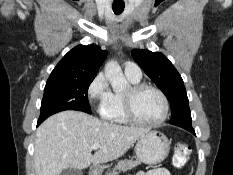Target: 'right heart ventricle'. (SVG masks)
<instances>
[{
  "instance_id": "e07e8e85",
  "label": "right heart ventricle",
  "mask_w": 233,
  "mask_h": 175,
  "mask_svg": "<svg viewBox=\"0 0 233 175\" xmlns=\"http://www.w3.org/2000/svg\"><path fill=\"white\" fill-rule=\"evenodd\" d=\"M133 84L138 83V81L128 78ZM100 115L104 120L119 124L127 125L130 123L125 115L123 106V94L112 93L110 99L101 106Z\"/></svg>"
}]
</instances>
